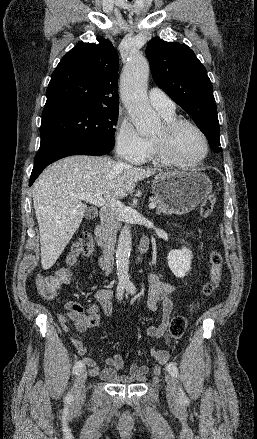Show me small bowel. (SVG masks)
Returning <instances> with one entry per match:
<instances>
[{
	"mask_svg": "<svg viewBox=\"0 0 257 439\" xmlns=\"http://www.w3.org/2000/svg\"><path fill=\"white\" fill-rule=\"evenodd\" d=\"M173 292L174 287L162 281L155 271L149 274L147 307L151 311H158L161 308L164 314V320L161 324L147 328L146 334L149 338H159L165 334L173 311V302L171 300ZM112 297L113 292L110 289H100L95 293L96 303L84 306L76 301H68L65 304L66 312L59 314L58 320L61 324H65L66 321L70 320L79 333L93 330L100 325V311L107 316L112 315ZM166 342L170 348L171 340L168 339ZM74 347L79 355L87 353V347L81 339L74 341ZM149 355L158 364H166L170 358L168 350H160L154 347L150 348ZM82 362L88 367L90 376H99L102 380L111 383L143 382L146 380L148 373V367L146 366L131 364L129 368H126L120 354L107 357L105 359L106 367L102 370L89 357H84ZM155 370H159L158 366L155 367Z\"/></svg>",
	"mask_w": 257,
	"mask_h": 439,
	"instance_id": "obj_1",
	"label": "small bowel"
}]
</instances>
